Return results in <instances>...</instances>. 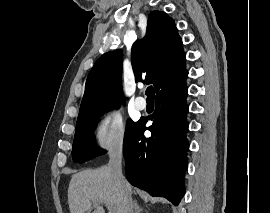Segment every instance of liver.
<instances>
[{
  "mask_svg": "<svg viewBox=\"0 0 270 213\" xmlns=\"http://www.w3.org/2000/svg\"><path fill=\"white\" fill-rule=\"evenodd\" d=\"M131 196L132 187L126 181L122 188L107 166L95 170H84L72 175L68 187L70 213H104L100 203H108L115 213L125 211V192Z\"/></svg>",
  "mask_w": 270,
  "mask_h": 213,
  "instance_id": "1",
  "label": "liver"
}]
</instances>
